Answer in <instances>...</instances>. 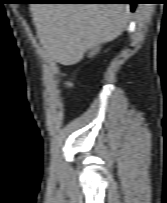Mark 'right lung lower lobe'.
<instances>
[{
  "label": "right lung lower lobe",
  "mask_w": 167,
  "mask_h": 203,
  "mask_svg": "<svg viewBox=\"0 0 167 203\" xmlns=\"http://www.w3.org/2000/svg\"><path fill=\"white\" fill-rule=\"evenodd\" d=\"M83 3H129L131 5V11L135 10V0H82Z\"/></svg>",
  "instance_id": "right-lung-lower-lobe-1"
}]
</instances>
